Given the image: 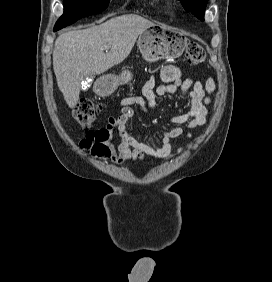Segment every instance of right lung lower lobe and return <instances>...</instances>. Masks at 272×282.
<instances>
[{
  "label": "right lung lower lobe",
  "mask_w": 272,
  "mask_h": 282,
  "mask_svg": "<svg viewBox=\"0 0 272 282\" xmlns=\"http://www.w3.org/2000/svg\"><path fill=\"white\" fill-rule=\"evenodd\" d=\"M63 27H60V28H54V31H58L60 29H62Z\"/></svg>",
  "instance_id": "98d812e1"
}]
</instances>
